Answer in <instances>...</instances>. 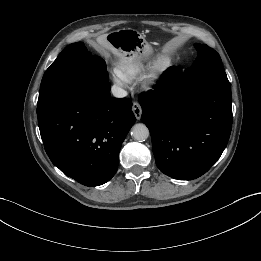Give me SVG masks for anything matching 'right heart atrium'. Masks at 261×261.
I'll list each match as a JSON object with an SVG mask.
<instances>
[{"mask_svg":"<svg viewBox=\"0 0 261 261\" xmlns=\"http://www.w3.org/2000/svg\"><path fill=\"white\" fill-rule=\"evenodd\" d=\"M113 80L115 81V83L121 86L125 85L126 83V81L121 78L116 71L113 72Z\"/></svg>","mask_w":261,"mask_h":261,"instance_id":"d8ad5b80","label":"right heart atrium"}]
</instances>
